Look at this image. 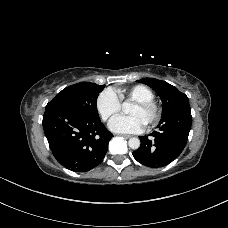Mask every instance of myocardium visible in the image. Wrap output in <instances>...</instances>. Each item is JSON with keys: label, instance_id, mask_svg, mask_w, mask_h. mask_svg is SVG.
<instances>
[{"label": "myocardium", "instance_id": "1", "mask_svg": "<svg viewBox=\"0 0 228 228\" xmlns=\"http://www.w3.org/2000/svg\"><path fill=\"white\" fill-rule=\"evenodd\" d=\"M133 104L151 112L152 115L146 123L147 126H154L159 122L162 111L160 105L155 100L135 101Z\"/></svg>", "mask_w": 228, "mask_h": 228}]
</instances>
